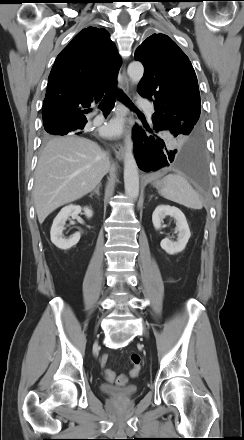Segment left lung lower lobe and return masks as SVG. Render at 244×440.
<instances>
[{
  "instance_id": "0a47b994",
  "label": "left lung lower lobe",
  "mask_w": 244,
  "mask_h": 440,
  "mask_svg": "<svg viewBox=\"0 0 244 440\" xmlns=\"http://www.w3.org/2000/svg\"><path fill=\"white\" fill-rule=\"evenodd\" d=\"M153 127L144 123V128L134 127L135 156L143 171H156L172 166L199 183L206 178V157L203 134L190 138L180 149L165 137L163 126L152 118Z\"/></svg>"
}]
</instances>
